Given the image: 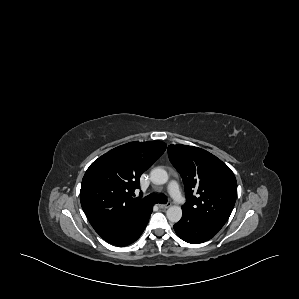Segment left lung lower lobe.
Here are the masks:
<instances>
[{"label":"left lung lower lobe","instance_id":"left-lung-lower-lobe-1","mask_svg":"<svg viewBox=\"0 0 299 299\" xmlns=\"http://www.w3.org/2000/svg\"><path fill=\"white\" fill-rule=\"evenodd\" d=\"M174 230L181 239L191 244L208 241L218 233V230L212 228L206 222L184 212L181 220L174 225Z\"/></svg>","mask_w":299,"mask_h":299}]
</instances>
